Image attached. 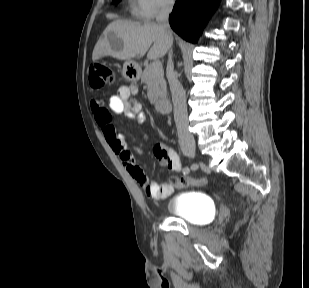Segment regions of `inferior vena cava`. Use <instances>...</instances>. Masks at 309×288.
I'll return each mask as SVG.
<instances>
[{
    "label": "inferior vena cava",
    "mask_w": 309,
    "mask_h": 288,
    "mask_svg": "<svg viewBox=\"0 0 309 288\" xmlns=\"http://www.w3.org/2000/svg\"><path fill=\"white\" fill-rule=\"evenodd\" d=\"M174 0H166L157 15V22L163 29L169 45V58L167 62V78L172 95L174 120L177 127L179 143L181 146L187 144H195L193 135L188 130V113L185 92L182 85L178 81L174 72V65L172 61V32L169 25V14L172 11Z\"/></svg>",
    "instance_id": "inferior-vena-cava-1"
}]
</instances>
